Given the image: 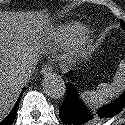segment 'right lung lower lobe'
<instances>
[{
  "instance_id": "1",
  "label": "right lung lower lobe",
  "mask_w": 125,
  "mask_h": 125,
  "mask_svg": "<svg viewBox=\"0 0 125 125\" xmlns=\"http://www.w3.org/2000/svg\"><path fill=\"white\" fill-rule=\"evenodd\" d=\"M19 101H20V97L18 98L17 102L15 103L13 109L11 110V112L9 113V115L0 123V125H12L16 114H17V109L19 106Z\"/></svg>"
}]
</instances>
